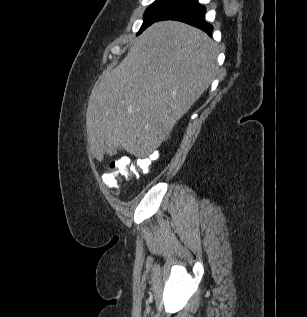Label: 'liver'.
I'll return each instance as SVG.
<instances>
[{"label":"liver","instance_id":"liver-1","mask_svg":"<svg viewBox=\"0 0 307 317\" xmlns=\"http://www.w3.org/2000/svg\"><path fill=\"white\" fill-rule=\"evenodd\" d=\"M217 70V46L206 33L177 21L150 26L92 90L86 114L92 154L100 162L117 148L149 156Z\"/></svg>","mask_w":307,"mask_h":317}]
</instances>
